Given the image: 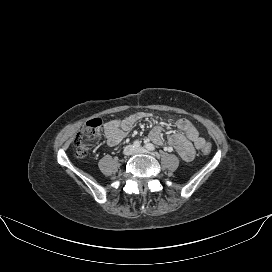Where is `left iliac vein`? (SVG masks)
Listing matches in <instances>:
<instances>
[{"label": "left iliac vein", "instance_id": "1", "mask_svg": "<svg viewBox=\"0 0 272 272\" xmlns=\"http://www.w3.org/2000/svg\"><path fill=\"white\" fill-rule=\"evenodd\" d=\"M135 153L137 154H146L147 150L144 147H139L135 149Z\"/></svg>", "mask_w": 272, "mask_h": 272}]
</instances>
